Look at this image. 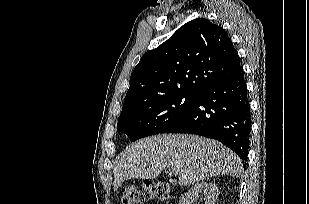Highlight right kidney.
Returning <instances> with one entry per match:
<instances>
[{"mask_svg": "<svg viewBox=\"0 0 309 204\" xmlns=\"http://www.w3.org/2000/svg\"><path fill=\"white\" fill-rule=\"evenodd\" d=\"M200 194H204V204H215L218 187L214 183L200 182L184 194L179 204H194Z\"/></svg>", "mask_w": 309, "mask_h": 204, "instance_id": "ca27d5eb", "label": "right kidney"}]
</instances>
